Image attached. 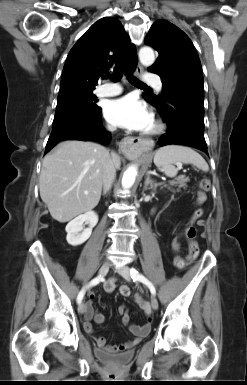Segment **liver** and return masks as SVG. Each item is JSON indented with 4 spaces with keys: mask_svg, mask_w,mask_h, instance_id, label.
I'll return each instance as SVG.
<instances>
[{
    "mask_svg": "<svg viewBox=\"0 0 247 385\" xmlns=\"http://www.w3.org/2000/svg\"><path fill=\"white\" fill-rule=\"evenodd\" d=\"M107 156L111 157L115 169H119L118 154L110 155L103 146L87 141H62L44 157L39 178L40 196L55 220L68 222L98 205Z\"/></svg>",
    "mask_w": 247,
    "mask_h": 385,
    "instance_id": "obj_1",
    "label": "liver"
}]
</instances>
